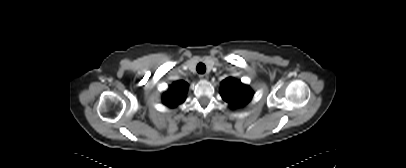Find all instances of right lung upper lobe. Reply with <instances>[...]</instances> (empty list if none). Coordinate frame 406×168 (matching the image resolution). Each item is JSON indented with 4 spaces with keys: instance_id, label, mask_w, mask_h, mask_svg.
Returning a JSON list of instances; mask_svg holds the SVG:
<instances>
[{
    "instance_id": "obj_1",
    "label": "right lung upper lobe",
    "mask_w": 406,
    "mask_h": 168,
    "mask_svg": "<svg viewBox=\"0 0 406 168\" xmlns=\"http://www.w3.org/2000/svg\"><path fill=\"white\" fill-rule=\"evenodd\" d=\"M188 84L184 81L174 82L169 90L163 95V103L168 107L174 108L186 99Z\"/></svg>"
}]
</instances>
